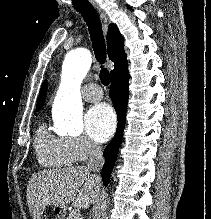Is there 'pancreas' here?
Returning <instances> with one entry per match:
<instances>
[{"mask_svg":"<svg viewBox=\"0 0 211 219\" xmlns=\"http://www.w3.org/2000/svg\"><path fill=\"white\" fill-rule=\"evenodd\" d=\"M66 219H75V216L70 214Z\"/></svg>","mask_w":211,"mask_h":219,"instance_id":"1","label":"pancreas"}]
</instances>
